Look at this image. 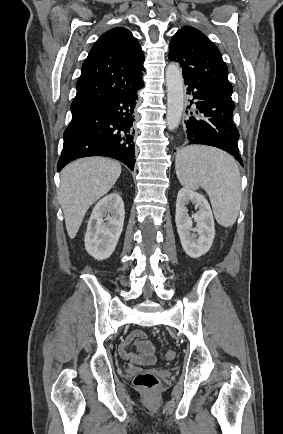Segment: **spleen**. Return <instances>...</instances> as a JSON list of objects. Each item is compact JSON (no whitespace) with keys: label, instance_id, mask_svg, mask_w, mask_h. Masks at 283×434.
I'll return each instance as SVG.
<instances>
[{"label":"spleen","instance_id":"obj_1","mask_svg":"<svg viewBox=\"0 0 283 434\" xmlns=\"http://www.w3.org/2000/svg\"><path fill=\"white\" fill-rule=\"evenodd\" d=\"M179 182L186 189L201 186L209 195L217 222L232 226L241 204V177L238 165L229 154L207 146H188L175 158Z\"/></svg>","mask_w":283,"mask_h":434}]
</instances>
